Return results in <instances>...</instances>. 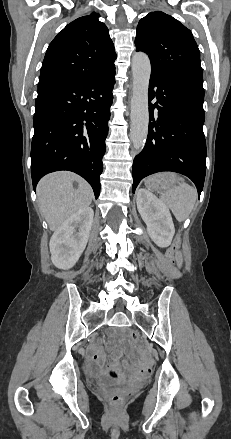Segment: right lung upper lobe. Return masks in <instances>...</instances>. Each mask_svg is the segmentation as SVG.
<instances>
[{
  "label": "right lung upper lobe",
  "instance_id": "cb5924a9",
  "mask_svg": "<svg viewBox=\"0 0 231 439\" xmlns=\"http://www.w3.org/2000/svg\"><path fill=\"white\" fill-rule=\"evenodd\" d=\"M95 12L68 24L50 43L38 91L78 84L114 66L116 53L106 25Z\"/></svg>",
  "mask_w": 231,
  "mask_h": 439
}]
</instances>
